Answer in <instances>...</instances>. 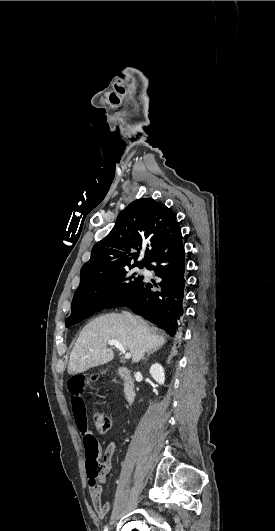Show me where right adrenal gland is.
Returning <instances> with one entry per match:
<instances>
[{
	"label": "right adrenal gland",
	"mask_w": 275,
	"mask_h": 531,
	"mask_svg": "<svg viewBox=\"0 0 275 531\" xmlns=\"http://www.w3.org/2000/svg\"><path fill=\"white\" fill-rule=\"evenodd\" d=\"M159 349V347H158ZM158 349H155V351H158ZM155 351H148V353H146V357H143L142 361H146L147 357H150V355H153V353H155Z\"/></svg>",
	"instance_id": "right-adrenal-gland-1"
}]
</instances>
